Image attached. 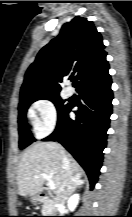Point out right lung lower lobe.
Instances as JSON below:
<instances>
[{
  "label": "right lung lower lobe",
  "instance_id": "obj_1",
  "mask_svg": "<svg viewBox=\"0 0 132 217\" xmlns=\"http://www.w3.org/2000/svg\"><path fill=\"white\" fill-rule=\"evenodd\" d=\"M111 78L77 89L80 102L76 119L69 118L72 106L58 116L55 131L43 141L60 142L86 171L91 189L98 180L106 147L107 130L112 113Z\"/></svg>",
  "mask_w": 132,
  "mask_h": 217
}]
</instances>
